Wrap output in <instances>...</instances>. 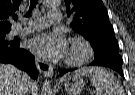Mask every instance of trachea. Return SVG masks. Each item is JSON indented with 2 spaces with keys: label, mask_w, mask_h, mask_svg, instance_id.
Masks as SVG:
<instances>
[{
  "label": "trachea",
  "mask_w": 135,
  "mask_h": 95,
  "mask_svg": "<svg viewBox=\"0 0 135 95\" xmlns=\"http://www.w3.org/2000/svg\"><path fill=\"white\" fill-rule=\"evenodd\" d=\"M38 3V0H31V3H30V9L29 11L27 12V14L25 15V17H29L31 15V12L33 10V8L36 6V4ZM18 17L15 16V19H17Z\"/></svg>",
  "instance_id": "3493384b"
}]
</instances>
